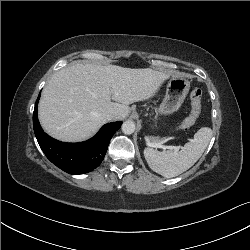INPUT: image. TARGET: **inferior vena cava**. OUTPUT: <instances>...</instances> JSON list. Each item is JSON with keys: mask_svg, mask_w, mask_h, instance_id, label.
Here are the masks:
<instances>
[{"mask_svg": "<svg viewBox=\"0 0 250 250\" xmlns=\"http://www.w3.org/2000/svg\"><path fill=\"white\" fill-rule=\"evenodd\" d=\"M115 112L114 111H110V112H108V114H107V119L108 120H112V119H114L115 118Z\"/></svg>", "mask_w": 250, "mask_h": 250, "instance_id": "obj_1", "label": "inferior vena cava"}]
</instances>
